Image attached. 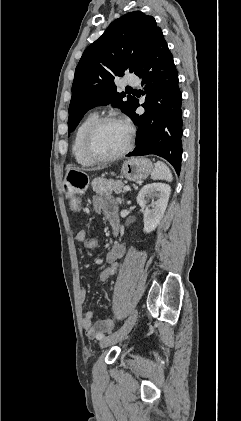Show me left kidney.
Masks as SVG:
<instances>
[{
  "label": "left kidney",
  "instance_id": "obj_1",
  "mask_svg": "<svg viewBox=\"0 0 241 421\" xmlns=\"http://www.w3.org/2000/svg\"><path fill=\"white\" fill-rule=\"evenodd\" d=\"M170 193V186L164 183L147 184L139 191L137 203L144 217V232L150 233L159 225L167 208ZM150 199L152 202L148 205Z\"/></svg>",
  "mask_w": 241,
  "mask_h": 421
}]
</instances>
